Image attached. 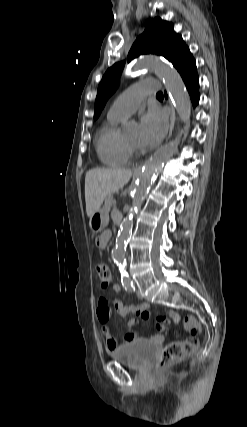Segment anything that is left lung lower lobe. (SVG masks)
Segmentation results:
<instances>
[{
	"label": "left lung lower lobe",
	"instance_id": "left-lung-lower-lobe-1",
	"mask_svg": "<svg viewBox=\"0 0 247 427\" xmlns=\"http://www.w3.org/2000/svg\"><path fill=\"white\" fill-rule=\"evenodd\" d=\"M177 70L187 87L192 104L195 107L199 102V78L194 58L191 57L186 60Z\"/></svg>",
	"mask_w": 247,
	"mask_h": 427
}]
</instances>
